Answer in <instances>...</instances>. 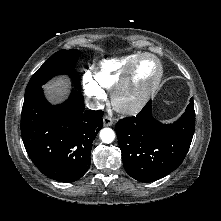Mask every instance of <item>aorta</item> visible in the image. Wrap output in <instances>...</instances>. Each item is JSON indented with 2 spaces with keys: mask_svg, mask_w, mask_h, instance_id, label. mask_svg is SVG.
I'll return each mask as SVG.
<instances>
[{
  "mask_svg": "<svg viewBox=\"0 0 221 221\" xmlns=\"http://www.w3.org/2000/svg\"><path fill=\"white\" fill-rule=\"evenodd\" d=\"M100 139L104 143H111L115 139V133L111 128H104L100 131Z\"/></svg>",
  "mask_w": 221,
  "mask_h": 221,
  "instance_id": "aorta-1",
  "label": "aorta"
}]
</instances>
